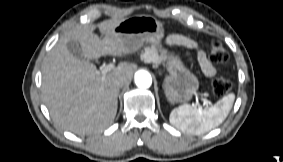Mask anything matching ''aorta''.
Here are the masks:
<instances>
[{"label": "aorta", "mask_w": 283, "mask_h": 162, "mask_svg": "<svg viewBox=\"0 0 283 162\" xmlns=\"http://www.w3.org/2000/svg\"><path fill=\"white\" fill-rule=\"evenodd\" d=\"M135 84L141 89L149 88L152 84V77L149 72L145 70H139L135 73Z\"/></svg>", "instance_id": "1"}]
</instances>
